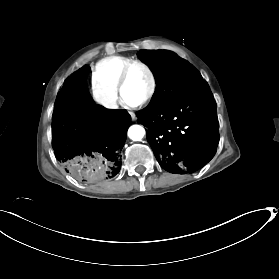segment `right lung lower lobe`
Listing matches in <instances>:
<instances>
[{
  "instance_id": "1",
  "label": "right lung lower lobe",
  "mask_w": 279,
  "mask_h": 279,
  "mask_svg": "<svg viewBox=\"0 0 279 279\" xmlns=\"http://www.w3.org/2000/svg\"><path fill=\"white\" fill-rule=\"evenodd\" d=\"M87 66L72 74L57 96L52 115V146L67 173L101 184L121 169L130 115L95 104L86 87Z\"/></svg>"
}]
</instances>
